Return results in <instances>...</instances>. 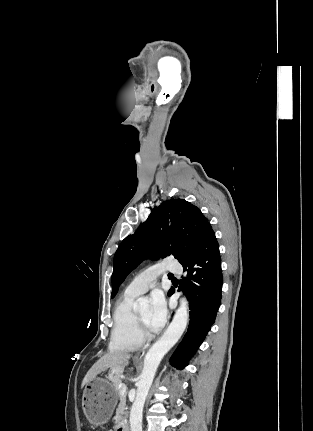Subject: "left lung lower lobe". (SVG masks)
I'll use <instances>...</instances> for the list:
<instances>
[{"label":"left lung lower lobe","mask_w":313,"mask_h":431,"mask_svg":"<svg viewBox=\"0 0 313 431\" xmlns=\"http://www.w3.org/2000/svg\"><path fill=\"white\" fill-rule=\"evenodd\" d=\"M181 264L184 271H187L180 288H184L187 293L190 322L184 338L170 359L171 365L177 369L187 366L188 360L202 344L221 304V260L211 225L206 228L193 254ZM173 293L174 289H170L168 296Z\"/></svg>","instance_id":"obj_1"}]
</instances>
